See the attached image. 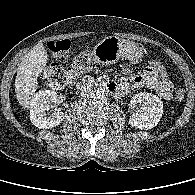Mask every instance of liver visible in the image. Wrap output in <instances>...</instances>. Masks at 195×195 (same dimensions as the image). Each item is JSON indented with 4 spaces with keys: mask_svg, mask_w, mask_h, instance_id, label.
<instances>
[{
    "mask_svg": "<svg viewBox=\"0 0 195 195\" xmlns=\"http://www.w3.org/2000/svg\"><path fill=\"white\" fill-rule=\"evenodd\" d=\"M47 61V51L44 45L39 43L20 62L15 78V92L23 108H30L38 87L37 78L45 69Z\"/></svg>",
    "mask_w": 195,
    "mask_h": 195,
    "instance_id": "1",
    "label": "liver"
}]
</instances>
